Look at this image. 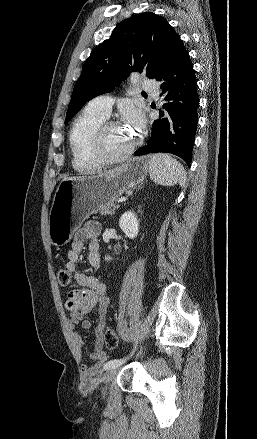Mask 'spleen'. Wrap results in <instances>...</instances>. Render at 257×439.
Returning <instances> with one entry per match:
<instances>
[{"label":"spleen","mask_w":257,"mask_h":439,"mask_svg":"<svg viewBox=\"0 0 257 439\" xmlns=\"http://www.w3.org/2000/svg\"><path fill=\"white\" fill-rule=\"evenodd\" d=\"M150 178L159 185L181 187L186 182V173L183 166L168 154L159 153L151 156Z\"/></svg>","instance_id":"3e777b00"}]
</instances>
